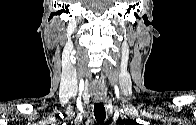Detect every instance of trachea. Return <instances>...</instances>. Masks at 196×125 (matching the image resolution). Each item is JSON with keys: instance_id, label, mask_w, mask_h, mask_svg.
Wrapping results in <instances>:
<instances>
[{"instance_id": "1", "label": "trachea", "mask_w": 196, "mask_h": 125, "mask_svg": "<svg viewBox=\"0 0 196 125\" xmlns=\"http://www.w3.org/2000/svg\"><path fill=\"white\" fill-rule=\"evenodd\" d=\"M94 115L98 124H102L106 118L105 107L102 103H95Z\"/></svg>"}]
</instances>
